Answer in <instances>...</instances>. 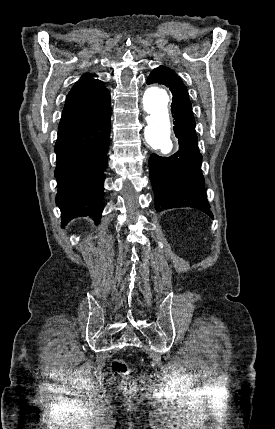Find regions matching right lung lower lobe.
I'll list each match as a JSON object with an SVG mask.
<instances>
[{
	"label": "right lung lower lobe",
	"instance_id": "98d812e1",
	"mask_svg": "<svg viewBox=\"0 0 275 429\" xmlns=\"http://www.w3.org/2000/svg\"><path fill=\"white\" fill-rule=\"evenodd\" d=\"M110 118L111 109L92 121L58 129L56 204L61 209L62 226L79 216L97 221L101 217Z\"/></svg>",
	"mask_w": 275,
	"mask_h": 429
}]
</instances>
